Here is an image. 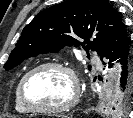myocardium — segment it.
Instances as JSON below:
<instances>
[{
    "mask_svg": "<svg viewBox=\"0 0 133 118\" xmlns=\"http://www.w3.org/2000/svg\"><path fill=\"white\" fill-rule=\"evenodd\" d=\"M49 68L63 70L69 75V77L72 81V85H73V95L68 102H66L65 104L60 105V106H55V107L35 106L34 104H32L29 101V99L27 97L26 91H27L28 81L37 72L44 70V69H49ZM80 94H81L80 82H79V79H78V76H77L75 70L71 66L64 64L62 62H54L53 61V62H45V63L39 64V65L33 67L32 69H30L29 71H27L23 75V77L21 78L20 83H19L20 100H21L22 104L25 106V108L29 112H33V113L56 114V113H62V112L69 111L78 103Z\"/></svg>",
    "mask_w": 133,
    "mask_h": 118,
    "instance_id": "1",
    "label": "myocardium"
}]
</instances>
